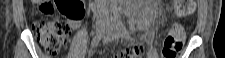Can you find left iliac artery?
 <instances>
[{
    "mask_svg": "<svg viewBox=\"0 0 225 58\" xmlns=\"http://www.w3.org/2000/svg\"><path fill=\"white\" fill-rule=\"evenodd\" d=\"M117 26H118L119 31L122 33V35H124V36L128 35V31L121 20L118 21Z\"/></svg>",
    "mask_w": 225,
    "mask_h": 58,
    "instance_id": "44dca946",
    "label": "left iliac artery"
}]
</instances>
